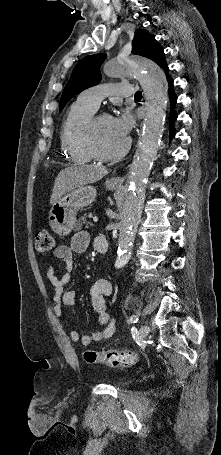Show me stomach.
<instances>
[{
    "instance_id": "obj_1",
    "label": "stomach",
    "mask_w": 221,
    "mask_h": 455,
    "mask_svg": "<svg viewBox=\"0 0 221 455\" xmlns=\"http://www.w3.org/2000/svg\"><path fill=\"white\" fill-rule=\"evenodd\" d=\"M107 189H115L117 184L112 180L105 182ZM96 188L91 185L79 186L61 196L49 211V225L60 236H67L75 229L77 212L94 202Z\"/></svg>"
}]
</instances>
